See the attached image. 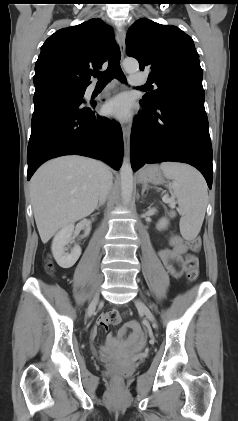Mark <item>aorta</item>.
Returning <instances> with one entry per match:
<instances>
[{
    "label": "aorta",
    "mask_w": 238,
    "mask_h": 421,
    "mask_svg": "<svg viewBox=\"0 0 238 421\" xmlns=\"http://www.w3.org/2000/svg\"><path fill=\"white\" fill-rule=\"evenodd\" d=\"M123 68L128 73L136 72L139 70V63L134 58H126L123 61ZM120 177L122 199L124 204H128L131 201L133 192V171L129 159L126 157H124L122 162Z\"/></svg>",
    "instance_id": "762f6f07"
}]
</instances>
